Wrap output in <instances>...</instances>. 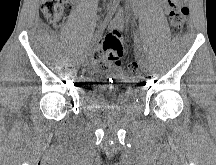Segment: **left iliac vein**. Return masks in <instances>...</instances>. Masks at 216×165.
<instances>
[{
  "label": "left iliac vein",
  "mask_w": 216,
  "mask_h": 165,
  "mask_svg": "<svg viewBox=\"0 0 216 165\" xmlns=\"http://www.w3.org/2000/svg\"><path fill=\"white\" fill-rule=\"evenodd\" d=\"M139 64H140V67L143 71H146L147 68H148V63H147V60L146 58L142 55L140 56L139 58Z\"/></svg>",
  "instance_id": "left-iliac-vein-1"
}]
</instances>
